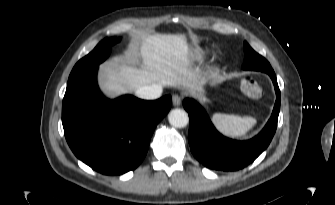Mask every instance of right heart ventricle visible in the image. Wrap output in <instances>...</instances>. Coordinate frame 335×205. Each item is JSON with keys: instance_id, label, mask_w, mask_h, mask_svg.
I'll list each match as a JSON object with an SVG mask.
<instances>
[{"instance_id": "e07e8e85", "label": "right heart ventricle", "mask_w": 335, "mask_h": 205, "mask_svg": "<svg viewBox=\"0 0 335 205\" xmlns=\"http://www.w3.org/2000/svg\"><path fill=\"white\" fill-rule=\"evenodd\" d=\"M207 57V51L201 47L194 48L190 53V61L194 63L202 62Z\"/></svg>"}]
</instances>
